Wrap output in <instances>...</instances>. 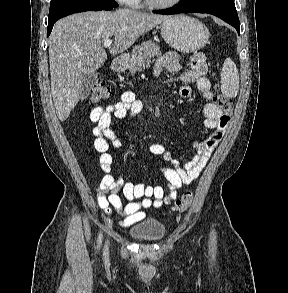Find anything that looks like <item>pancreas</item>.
Listing matches in <instances>:
<instances>
[{
	"label": "pancreas",
	"mask_w": 288,
	"mask_h": 293,
	"mask_svg": "<svg viewBox=\"0 0 288 293\" xmlns=\"http://www.w3.org/2000/svg\"><path fill=\"white\" fill-rule=\"evenodd\" d=\"M157 44L152 41H146L133 48L131 58L128 59V69L131 74L141 71L145 63H149L156 56H161Z\"/></svg>",
	"instance_id": "pancreas-1"
}]
</instances>
